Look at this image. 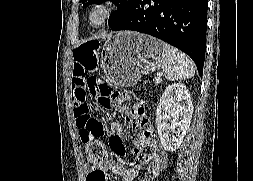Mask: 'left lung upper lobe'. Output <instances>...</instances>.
<instances>
[{
    "label": "left lung upper lobe",
    "instance_id": "5c2ea615",
    "mask_svg": "<svg viewBox=\"0 0 253 181\" xmlns=\"http://www.w3.org/2000/svg\"><path fill=\"white\" fill-rule=\"evenodd\" d=\"M105 0H80L84 7L90 4L97 3L100 4ZM135 0H114L117 10L114 11L109 18V26L112 28L117 25L131 10Z\"/></svg>",
    "mask_w": 253,
    "mask_h": 181
}]
</instances>
